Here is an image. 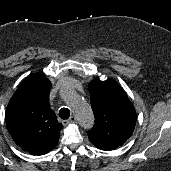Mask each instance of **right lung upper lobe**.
<instances>
[{
  "instance_id": "cb5924a9",
  "label": "right lung upper lobe",
  "mask_w": 171,
  "mask_h": 171,
  "mask_svg": "<svg viewBox=\"0 0 171 171\" xmlns=\"http://www.w3.org/2000/svg\"><path fill=\"white\" fill-rule=\"evenodd\" d=\"M51 82L42 74L25 78L6 109V125L14 142L34 155L50 152L58 143L62 124L49 106Z\"/></svg>"
}]
</instances>
